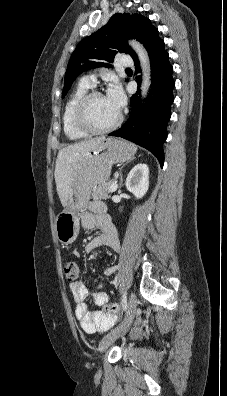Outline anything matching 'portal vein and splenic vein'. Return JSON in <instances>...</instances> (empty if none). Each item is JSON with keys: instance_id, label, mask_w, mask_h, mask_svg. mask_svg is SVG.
Here are the masks:
<instances>
[{"instance_id": "obj_1", "label": "portal vein and splenic vein", "mask_w": 227, "mask_h": 396, "mask_svg": "<svg viewBox=\"0 0 227 396\" xmlns=\"http://www.w3.org/2000/svg\"><path fill=\"white\" fill-rule=\"evenodd\" d=\"M117 188H118L117 183H114V184H112V186L110 187L109 192H114V191L117 190Z\"/></svg>"}]
</instances>
